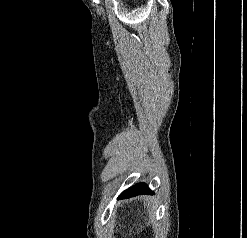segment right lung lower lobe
Listing matches in <instances>:
<instances>
[{
	"label": "right lung lower lobe",
	"instance_id": "1",
	"mask_svg": "<svg viewBox=\"0 0 247 238\" xmlns=\"http://www.w3.org/2000/svg\"><path fill=\"white\" fill-rule=\"evenodd\" d=\"M153 192L150 190V188L145 183H138L134 185L133 187H130L129 189L125 190L118 199L121 198H130L141 194H152Z\"/></svg>",
	"mask_w": 247,
	"mask_h": 238
}]
</instances>
